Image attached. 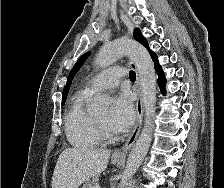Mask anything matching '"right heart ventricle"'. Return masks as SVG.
I'll list each match as a JSON object with an SVG mask.
<instances>
[{
  "label": "right heart ventricle",
  "instance_id": "obj_1",
  "mask_svg": "<svg viewBox=\"0 0 224 188\" xmlns=\"http://www.w3.org/2000/svg\"><path fill=\"white\" fill-rule=\"evenodd\" d=\"M92 93L79 91L65 114V132L69 143L76 148H92L100 143L94 125V114L88 104Z\"/></svg>",
  "mask_w": 224,
  "mask_h": 188
}]
</instances>
